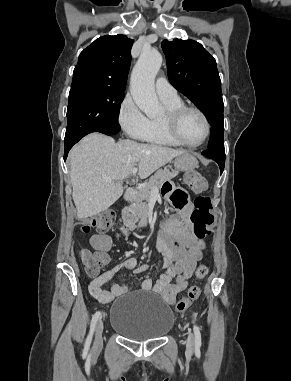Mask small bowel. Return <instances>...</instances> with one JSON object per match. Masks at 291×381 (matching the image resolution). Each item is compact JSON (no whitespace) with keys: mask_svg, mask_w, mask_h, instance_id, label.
Here are the masks:
<instances>
[{"mask_svg":"<svg viewBox=\"0 0 291 381\" xmlns=\"http://www.w3.org/2000/svg\"><path fill=\"white\" fill-rule=\"evenodd\" d=\"M166 196L175 206L181 221L176 217L167 220L158 234L156 248L163 256V272L155 283L149 278L141 282V289L152 291L162 296L167 304H174L177 295L184 291L197 263L202 258L204 242L194 236L189 230L191 206L186 202L184 193L172 187H166ZM184 199L182 205L177 201ZM96 251L106 252L111 248V238L108 235H93L90 239ZM148 265L137 266L132 257L126 258L118 265L104 271L89 284L90 294L102 304H109L116 297L131 290L126 284L109 283L120 270L142 274L148 270Z\"/></svg>","mask_w":291,"mask_h":381,"instance_id":"1","label":"small bowel"}]
</instances>
